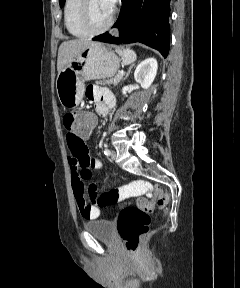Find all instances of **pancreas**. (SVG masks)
Segmentation results:
<instances>
[{"mask_svg":"<svg viewBox=\"0 0 240 288\" xmlns=\"http://www.w3.org/2000/svg\"><path fill=\"white\" fill-rule=\"evenodd\" d=\"M123 78V75H116L114 78L112 79H105L102 81H97L96 83L99 85H114L116 86Z\"/></svg>","mask_w":240,"mask_h":288,"instance_id":"cf45deb5","label":"pancreas"}]
</instances>
